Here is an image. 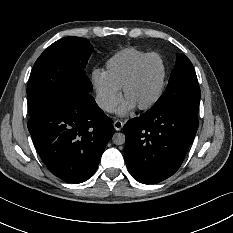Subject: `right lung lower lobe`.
Here are the masks:
<instances>
[{
    "instance_id": "right-lung-lower-lobe-1",
    "label": "right lung lower lobe",
    "mask_w": 233,
    "mask_h": 233,
    "mask_svg": "<svg viewBox=\"0 0 233 233\" xmlns=\"http://www.w3.org/2000/svg\"><path fill=\"white\" fill-rule=\"evenodd\" d=\"M34 145L49 169L68 183H81L96 171L114 131L112 120L89 92L73 90L28 121Z\"/></svg>"
}]
</instances>
